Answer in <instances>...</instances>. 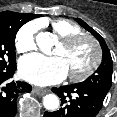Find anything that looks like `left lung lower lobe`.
Listing matches in <instances>:
<instances>
[{
    "label": "left lung lower lobe",
    "mask_w": 117,
    "mask_h": 117,
    "mask_svg": "<svg viewBox=\"0 0 117 117\" xmlns=\"http://www.w3.org/2000/svg\"><path fill=\"white\" fill-rule=\"evenodd\" d=\"M52 91L61 98L62 108L45 112L44 117H95L106 96L79 83L52 88Z\"/></svg>",
    "instance_id": "1"
}]
</instances>
